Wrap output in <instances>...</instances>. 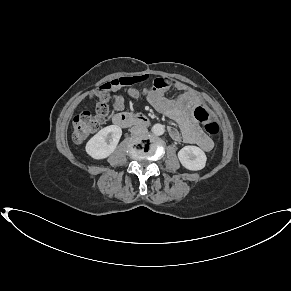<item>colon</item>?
<instances>
[{"label": "colon", "mask_w": 291, "mask_h": 291, "mask_svg": "<svg viewBox=\"0 0 291 291\" xmlns=\"http://www.w3.org/2000/svg\"><path fill=\"white\" fill-rule=\"evenodd\" d=\"M145 81L144 77H121L102 84L97 90L100 102L95 113L82 111L73 118L74 139L77 142H82L102 127L108 113L107 100L111 90L119 87H129V94L136 97L139 95L138 86L145 85ZM146 89L144 87V90ZM194 116L209 135L216 136L219 133V124L206 106H196Z\"/></svg>", "instance_id": "1"}]
</instances>
